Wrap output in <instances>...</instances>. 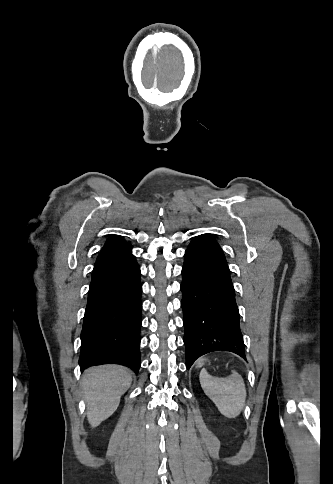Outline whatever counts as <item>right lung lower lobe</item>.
Masks as SVG:
<instances>
[{
	"instance_id": "98d812e1",
	"label": "right lung lower lobe",
	"mask_w": 333,
	"mask_h": 484,
	"mask_svg": "<svg viewBox=\"0 0 333 484\" xmlns=\"http://www.w3.org/2000/svg\"><path fill=\"white\" fill-rule=\"evenodd\" d=\"M131 248H109L97 257L81 332V370L117 363L138 373L142 285Z\"/></svg>"
}]
</instances>
